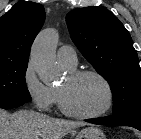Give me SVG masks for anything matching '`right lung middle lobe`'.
<instances>
[{
    "label": "right lung middle lobe",
    "instance_id": "1",
    "mask_svg": "<svg viewBox=\"0 0 141 139\" xmlns=\"http://www.w3.org/2000/svg\"><path fill=\"white\" fill-rule=\"evenodd\" d=\"M26 69L27 62H0V104L31 101Z\"/></svg>",
    "mask_w": 141,
    "mask_h": 139
}]
</instances>
